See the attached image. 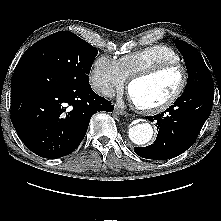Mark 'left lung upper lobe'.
<instances>
[{
	"instance_id": "5c2ea615",
	"label": "left lung upper lobe",
	"mask_w": 221,
	"mask_h": 221,
	"mask_svg": "<svg viewBox=\"0 0 221 221\" xmlns=\"http://www.w3.org/2000/svg\"><path fill=\"white\" fill-rule=\"evenodd\" d=\"M177 49L182 53L188 70V81L184 93L213 83L212 76L200 53L185 41L175 39Z\"/></svg>"
}]
</instances>
